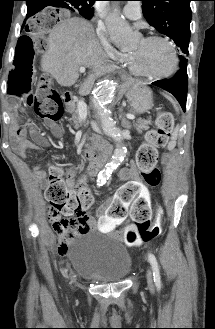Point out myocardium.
I'll use <instances>...</instances> for the list:
<instances>
[{"mask_svg": "<svg viewBox=\"0 0 215 329\" xmlns=\"http://www.w3.org/2000/svg\"><path fill=\"white\" fill-rule=\"evenodd\" d=\"M144 42H152V41H164L166 42L172 49L173 55H174V66L173 68L163 74H151L148 73L146 71H144L140 66H139V58L136 54H131L130 56V62L132 65V68L134 70V72L140 76L146 77L148 79H152V80H162V79H166L169 78L171 76H173L178 68H179V53H178V49L176 44L174 43V41L172 39H170L167 36H163V35H148L142 38Z\"/></svg>", "mask_w": 215, "mask_h": 329, "instance_id": "f54148a6", "label": "myocardium"}]
</instances>
